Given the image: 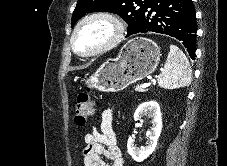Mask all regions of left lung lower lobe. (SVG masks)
I'll list each match as a JSON object with an SVG mask.
<instances>
[{
    "mask_svg": "<svg viewBox=\"0 0 227 166\" xmlns=\"http://www.w3.org/2000/svg\"><path fill=\"white\" fill-rule=\"evenodd\" d=\"M145 32L161 33L182 41L194 59L197 25L192 0H147L135 33Z\"/></svg>",
    "mask_w": 227,
    "mask_h": 166,
    "instance_id": "0a47b994",
    "label": "left lung lower lobe"
}]
</instances>
